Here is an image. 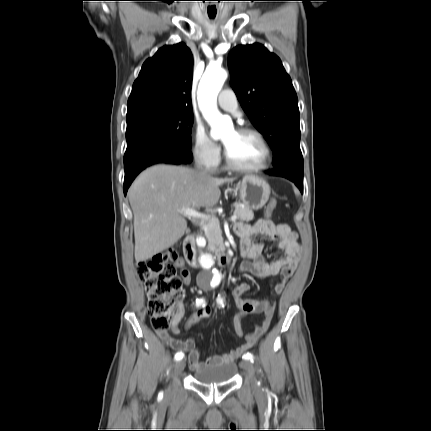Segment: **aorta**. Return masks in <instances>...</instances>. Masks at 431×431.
I'll return each mask as SVG.
<instances>
[{"mask_svg":"<svg viewBox=\"0 0 431 431\" xmlns=\"http://www.w3.org/2000/svg\"><path fill=\"white\" fill-rule=\"evenodd\" d=\"M226 79L227 72L224 69L209 66L206 68L198 86V105L204 118L211 126L210 134L213 139L221 138L231 127L230 121L222 116L217 109V96ZM197 241L198 246L202 248L206 238L200 235ZM200 263L205 269L210 271V278L212 280L221 279V274L214 268L215 262L209 253L201 252Z\"/></svg>","mask_w":431,"mask_h":431,"instance_id":"1","label":"aorta"}]
</instances>
